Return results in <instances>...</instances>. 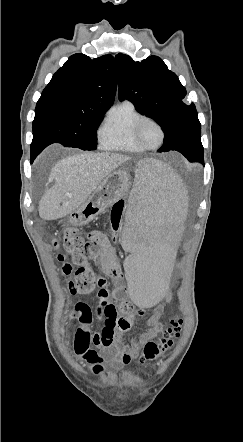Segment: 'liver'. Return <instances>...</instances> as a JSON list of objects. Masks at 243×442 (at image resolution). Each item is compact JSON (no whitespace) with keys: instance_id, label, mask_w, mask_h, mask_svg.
Returning <instances> with one entry per match:
<instances>
[{"instance_id":"liver-1","label":"liver","mask_w":243,"mask_h":442,"mask_svg":"<svg viewBox=\"0 0 243 442\" xmlns=\"http://www.w3.org/2000/svg\"><path fill=\"white\" fill-rule=\"evenodd\" d=\"M130 158L117 153L83 152L58 161L49 180L55 184L39 203L44 220L63 218L87 201L101 182Z\"/></svg>"}]
</instances>
